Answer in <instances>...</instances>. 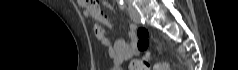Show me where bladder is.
<instances>
[{"mask_svg": "<svg viewBox=\"0 0 238 70\" xmlns=\"http://www.w3.org/2000/svg\"><path fill=\"white\" fill-rule=\"evenodd\" d=\"M111 70H123V68H121V67H113V68H111Z\"/></svg>", "mask_w": 238, "mask_h": 70, "instance_id": "1", "label": "bladder"}]
</instances>
